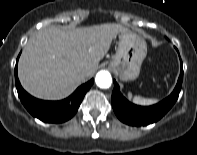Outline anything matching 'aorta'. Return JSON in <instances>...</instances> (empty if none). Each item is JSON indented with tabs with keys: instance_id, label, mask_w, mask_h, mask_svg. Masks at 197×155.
I'll list each match as a JSON object with an SVG mask.
<instances>
[{
	"instance_id": "aorta-1",
	"label": "aorta",
	"mask_w": 197,
	"mask_h": 155,
	"mask_svg": "<svg viewBox=\"0 0 197 155\" xmlns=\"http://www.w3.org/2000/svg\"><path fill=\"white\" fill-rule=\"evenodd\" d=\"M95 82L98 87L107 89L112 85V77L108 71L102 70L96 74Z\"/></svg>"
}]
</instances>
